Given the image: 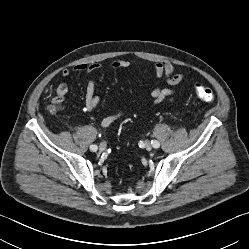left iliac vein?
<instances>
[{"instance_id": "4c4485c4", "label": "left iliac vein", "mask_w": 249, "mask_h": 249, "mask_svg": "<svg viewBox=\"0 0 249 249\" xmlns=\"http://www.w3.org/2000/svg\"><path fill=\"white\" fill-rule=\"evenodd\" d=\"M144 148L147 151H151L152 150V144H151V142L150 141H145Z\"/></svg>"}]
</instances>
